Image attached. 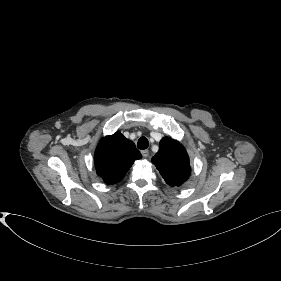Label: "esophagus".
Masks as SVG:
<instances>
[{
    "instance_id": "esophagus-1",
    "label": "esophagus",
    "mask_w": 281,
    "mask_h": 281,
    "mask_svg": "<svg viewBox=\"0 0 281 281\" xmlns=\"http://www.w3.org/2000/svg\"><path fill=\"white\" fill-rule=\"evenodd\" d=\"M141 154L144 158H147L149 156V151L146 149V150H142L141 151Z\"/></svg>"
}]
</instances>
